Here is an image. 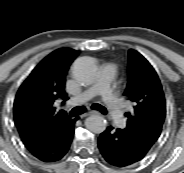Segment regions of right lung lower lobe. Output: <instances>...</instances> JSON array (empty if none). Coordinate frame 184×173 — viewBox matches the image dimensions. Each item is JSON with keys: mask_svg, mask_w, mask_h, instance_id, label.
Here are the masks:
<instances>
[{"mask_svg": "<svg viewBox=\"0 0 184 173\" xmlns=\"http://www.w3.org/2000/svg\"><path fill=\"white\" fill-rule=\"evenodd\" d=\"M75 119L21 136L27 149L37 158L61 159L69 150L74 135Z\"/></svg>", "mask_w": 184, "mask_h": 173, "instance_id": "obj_1", "label": "right lung lower lobe"}]
</instances>
